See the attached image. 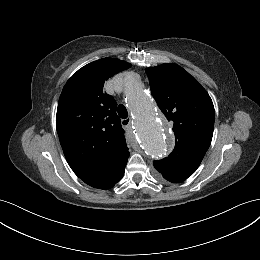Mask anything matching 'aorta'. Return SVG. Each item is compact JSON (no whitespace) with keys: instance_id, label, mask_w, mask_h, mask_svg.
I'll return each mask as SVG.
<instances>
[{"instance_id":"762f6f07","label":"aorta","mask_w":260,"mask_h":260,"mask_svg":"<svg viewBox=\"0 0 260 260\" xmlns=\"http://www.w3.org/2000/svg\"><path fill=\"white\" fill-rule=\"evenodd\" d=\"M123 86L128 104L135 115L136 135L140 144L151 158L164 157L171 147L168 131L159 121L141 81L135 74L129 73L123 80Z\"/></svg>"}]
</instances>
